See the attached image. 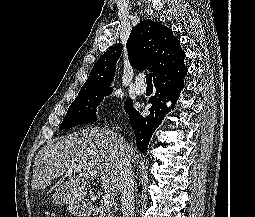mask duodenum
Masks as SVG:
<instances>
[{"instance_id":"duodenum-1","label":"duodenum","mask_w":255,"mask_h":217,"mask_svg":"<svg viewBox=\"0 0 255 217\" xmlns=\"http://www.w3.org/2000/svg\"><path fill=\"white\" fill-rule=\"evenodd\" d=\"M85 211H86V212H88V211H89V208H88V207H86Z\"/></svg>"}]
</instances>
